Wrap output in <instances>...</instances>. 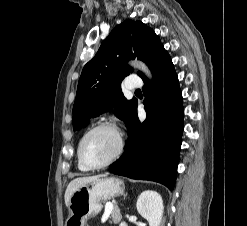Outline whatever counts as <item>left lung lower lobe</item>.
Instances as JSON below:
<instances>
[{
    "label": "left lung lower lobe",
    "mask_w": 247,
    "mask_h": 226,
    "mask_svg": "<svg viewBox=\"0 0 247 226\" xmlns=\"http://www.w3.org/2000/svg\"><path fill=\"white\" fill-rule=\"evenodd\" d=\"M150 69L154 83L141 77L146 97V120L140 123L136 104L127 125L125 151L109 171L132 179L159 182L172 190L183 131L182 94L173 63L164 47Z\"/></svg>",
    "instance_id": "0a47b994"
}]
</instances>
